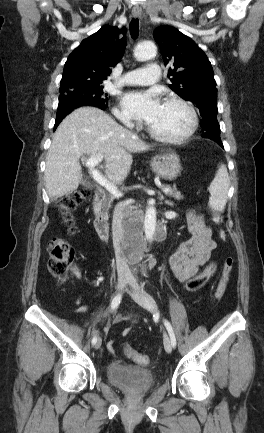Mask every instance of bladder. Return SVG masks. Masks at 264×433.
<instances>
[{
	"label": "bladder",
	"mask_w": 264,
	"mask_h": 433,
	"mask_svg": "<svg viewBox=\"0 0 264 433\" xmlns=\"http://www.w3.org/2000/svg\"><path fill=\"white\" fill-rule=\"evenodd\" d=\"M106 371L113 385L129 393H147L154 384L151 372L130 365L113 362L107 366Z\"/></svg>",
	"instance_id": "1"
}]
</instances>
